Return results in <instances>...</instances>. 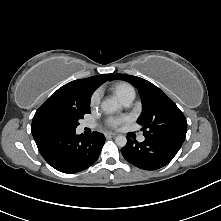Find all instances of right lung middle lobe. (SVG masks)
<instances>
[{"label":"right lung middle lobe","mask_w":221,"mask_h":221,"mask_svg":"<svg viewBox=\"0 0 221 221\" xmlns=\"http://www.w3.org/2000/svg\"><path fill=\"white\" fill-rule=\"evenodd\" d=\"M90 113V108L74 109L48 107L37 113L32 121V134L40 137L56 132L74 131L84 114Z\"/></svg>","instance_id":"1"}]
</instances>
